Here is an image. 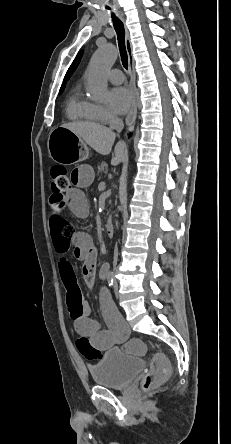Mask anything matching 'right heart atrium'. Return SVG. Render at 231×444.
<instances>
[{
  "label": "right heart atrium",
  "mask_w": 231,
  "mask_h": 444,
  "mask_svg": "<svg viewBox=\"0 0 231 444\" xmlns=\"http://www.w3.org/2000/svg\"><path fill=\"white\" fill-rule=\"evenodd\" d=\"M93 115L97 121L107 122L115 118L114 114L104 105L90 103Z\"/></svg>",
  "instance_id": "right-heart-atrium-1"
}]
</instances>
